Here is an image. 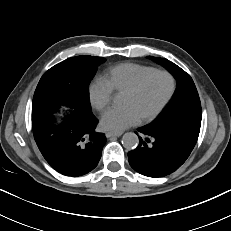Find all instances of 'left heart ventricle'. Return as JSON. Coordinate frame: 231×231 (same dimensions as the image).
<instances>
[{"mask_svg":"<svg viewBox=\"0 0 231 231\" xmlns=\"http://www.w3.org/2000/svg\"><path fill=\"white\" fill-rule=\"evenodd\" d=\"M171 88L170 79L164 74L150 77L142 87L133 94H123L122 105H130L139 118L153 112L166 98Z\"/></svg>","mask_w":231,"mask_h":231,"instance_id":"left-heart-ventricle-1","label":"left heart ventricle"}]
</instances>
